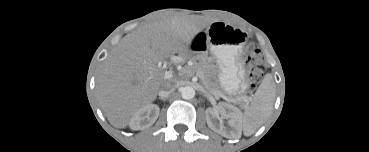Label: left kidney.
Returning a JSON list of instances; mask_svg holds the SVG:
<instances>
[{
	"instance_id": "left-kidney-1",
	"label": "left kidney",
	"mask_w": 369,
	"mask_h": 152,
	"mask_svg": "<svg viewBox=\"0 0 369 152\" xmlns=\"http://www.w3.org/2000/svg\"><path fill=\"white\" fill-rule=\"evenodd\" d=\"M221 115L224 119H227L232 126L233 130L227 132L223 124H217L213 122V119L218 115ZM241 119V113L238 109H235L229 105L219 104L216 107L206 109V121L207 125L213 131L223 135L224 137L236 138L238 135V123Z\"/></svg>"
}]
</instances>
